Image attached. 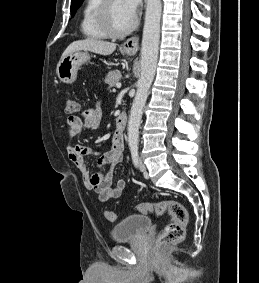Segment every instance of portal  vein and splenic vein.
<instances>
[{"instance_id": "obj_1", "label": "portal vein and splenic vein", "mask_w": 259, "mask_h": 283, "mask_svg": "<svg viewBox=\"0 0 259 283\" xmlns=\"http://www.w3.org/2000/svg\"><path fill=\"white\" fill-rule=\"evenodd\" d=\"M116 87H117V88H120V87H121V83H117V84H116Z\"/></svg>"}]
</instances>
